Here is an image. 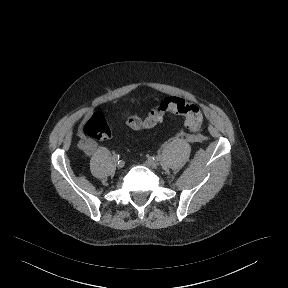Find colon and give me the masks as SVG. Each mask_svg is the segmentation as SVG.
<instances>
[{
    "label": "colon",
    "mask_w": 288,
    "mask_h": 288,
    "mask_svg": "<svg viewBox=\"0 0 288 288\" xmlns=\"http://www.w3.org/2000/svg\"><path fill=\"white\" fill-rule=\"evenodd\" d=\"M167 112L180 115L185 119V126L189 131L196 132L200 129L203 121L202 110L195 104L186 101L181 97H168L159 102L146 116V118L130 117L126 125L131 130H142L157 125L163 120ZM84 132L87 137L106 141L111 138V129L105 116L102 113H96L84 125ZM88 149H93L89 143Z\"/></svg>",
    "instance_id": "obj_1"
}]
</instances>
